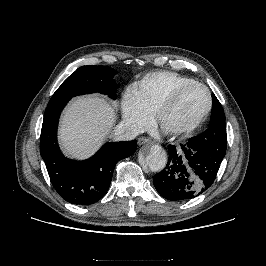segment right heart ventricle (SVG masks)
<instances>
[{"instance_id":"obj_1","label":"right heart ventricle","mask_w":266,"mask_h":266,"mask_svg":"<svg viewBox=\"0 0 266 266\" xmlns=\"http://www.w3.org/2000/svg\"><path fill=\"white\" fill-rule=\"evenodd\" d=\"M193 79L169 71H157L145 75L135 83L131 92L138 104L150 115L162 99L175 87L193 82Z\"/></svg>"}]
</instances>
